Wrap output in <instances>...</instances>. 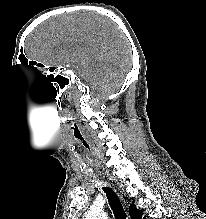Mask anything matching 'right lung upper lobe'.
Wrapping results in <instances>:
<instances>
[{
    "mask_svg": "<svg viewBox=\"0 0 206 219\" xmlns=\"http://www.w3.org/2000/svg\"><path fill=\"white\" fill-rule=\"evenodd\" d=\"M130 218L131 219H141L142 211L137 209L134 204H132L130 207Z\"/></svg>",
    "mask_w": 206,
    "mask_h": 219,
    "instance_id": "obj_1",
    "label": "right lung upper lobe"
}]
</instances>
